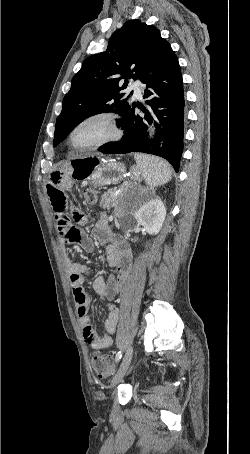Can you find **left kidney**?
<instances>
[{
  "instance_id": "left-kidney-1",
  "label": "left kidney",
  "mask_w": 250,
  "mask_h": 454,
  "mask_svg": "<svg viewBox=\"0 0 250 454\" xmlns=\"http://www.w3.org/2000/svg\"><path fill=\"white\" fill-rule=\"evenodd\" d=\"M166 217V208L160 198L155 197L135 213L138 225L142 226L147 233L156 235L159 233Z\"/></svg>"
}]
</instances>
